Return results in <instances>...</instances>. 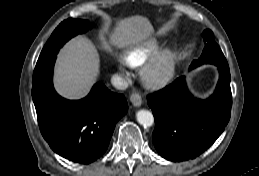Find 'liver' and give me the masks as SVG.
<instances>
[{
    "label": "liver",
    "mask_w": 259,
    "mask_h": 176,
    "mask_svg": "<svg viewBox=\"0 0 259 176\" xmlns=\"http://www.w3.org/2000/svg\"><path fill=\"white\" fill-rule=\"evenodd\" d=\"M153 26L143 16L121 19L105 47H130L142 44L153 34ZM99 58L93 44L83 37L70 40L60 51L55 67L56 91L68 99H80L88 94L99 76Z\"/></svg>",
    "instance_id": "liver-1"
}]
</instances>
